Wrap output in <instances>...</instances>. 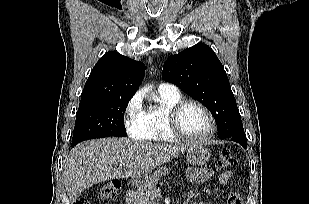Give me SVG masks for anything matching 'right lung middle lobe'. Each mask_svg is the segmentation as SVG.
<instances>
[{"instance_id": "right-lung-middle-lobe-1", "label": "right lung middle lobe", "mask_w": 309, "mask_h": 204, "mask_svg": "<svg viewBox=\"0 0 309 204\" xmlns=\"http://www.w3.org/2000/svg\"><path fill=\"white\" fill-rule=\"evenodd\" d=\"M130 97H111L79 104L72 146L81 141L126 136L124 112Z\"/></svg>"}]
</instances>
